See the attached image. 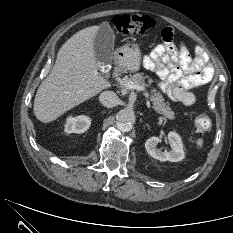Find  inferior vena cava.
I'll use <instances>...</instances> for the list:
<instances>
[{
    "instance_id": "1",
    "label": "inferior vena cava",
    "mask_w": 233,
    "mask_h": 233,
    "mask_svg": "<svg viewBox=\"0 0 233 233\" xmlns=\"http://www.w3.org/2000/svg\"><path fill=\"white\" fill-rule=\"evenodd\" d=\"M99 101L103 106L112 108L118 104L119 98L113 91H104L100 94Z\"/></svg>"
}]
</instances>
